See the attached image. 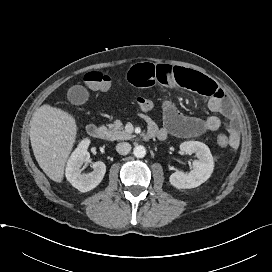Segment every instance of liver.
I'll return each mask as SVG.
<instances>
[{
  "label": "liver",
  "instance_id": "liver-1",
  "mask_svg": "<svg viewBox=\"0 0 272 272\" xmlns=\"http://www.w3.org/2000/svg\"><path fill=\"white\" fill-rule=\"evenodd\" d=\"M30 140L34 156L44 173L62 182L64 168L75 143V118L60 108L44 104L32 116Z\"/></svg>",
  "mask_w": 272,
  "mask_h": 272
}]
</instances>
